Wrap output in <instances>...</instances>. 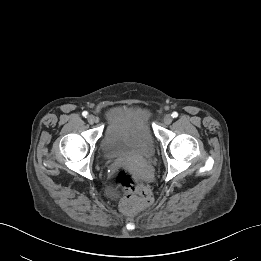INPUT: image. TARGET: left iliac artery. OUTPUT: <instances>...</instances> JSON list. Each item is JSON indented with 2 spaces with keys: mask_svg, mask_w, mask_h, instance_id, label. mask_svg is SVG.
Segmentation results:
<instances>
[{
  "mask_svg": "<svg viewBox=\"0 0 261 261\" xmlns=\"http://www.w3.org/2000/svg\"><path fill=\"white\" fill-rule=\"evenodd\" d=\"M171 116H172L173 118H176V117H178V113H177V112H173V113L171 114Z\"/></svg>",
  "mask_w": 261,
  "mask_h": 261,
  "instance_id": "obj_1",
  "label": "left iliac artery"
}]
</instances>
